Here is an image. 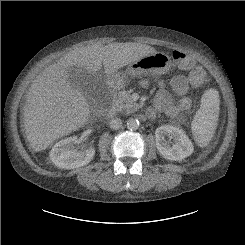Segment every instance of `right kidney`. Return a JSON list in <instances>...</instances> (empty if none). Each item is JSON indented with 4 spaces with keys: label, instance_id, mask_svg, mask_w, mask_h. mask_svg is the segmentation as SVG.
Here are the masks:
<instances>
[{
    "label": "right kidney",
    "instance_id": "obj_1",
    "mask_svg": "<svg viewBox=\"0 0 245 245\" xmlns=\"http://www.w3.org/2000/svg\"><path fill=\"white\" fill-rule=\"evenodd\" d=\"M76 136L63 139L56 143L51 152V161L59 168L74 169L87 165L94 157L93 148L77 150L74 145L77 144Z\"/></svg>",
    "mask_w": 245,
    "mask_h": 245
}]
</instances>
